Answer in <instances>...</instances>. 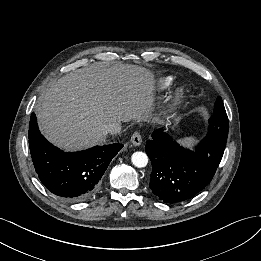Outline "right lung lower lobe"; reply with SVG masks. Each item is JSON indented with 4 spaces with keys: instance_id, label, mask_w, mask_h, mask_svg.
Wrapping results in <instances>:
<instances>
[{
    "instance_id": "right-lung-lower-lobe-1",
    "label": "right lung lower lobe",
    "mask_w": 261,
    "mask_h": 261,
    "mask_svg": "<svg viewBox=\"0 0 261 261\" xmlns=\"http://www.w3.org/2000/svg\"><path fill=\"white\" fill-rule=\"evenodd\" d=\"M122 144L95 146L78 152H64L39 132L31 114L29 148L41 182L53 194L69 201H83L96 193L101 178Z\"/></svg>"
}]
</instances>
